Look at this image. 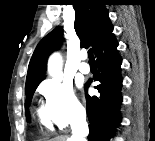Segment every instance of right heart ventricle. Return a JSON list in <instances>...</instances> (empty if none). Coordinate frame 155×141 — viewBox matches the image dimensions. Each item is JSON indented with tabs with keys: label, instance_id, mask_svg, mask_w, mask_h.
Here are the masks:
<instances>
[{
	"label": "right heart ventricle",
	"instance_id": "e07e8e85",
	"mask_svg": "<svg viewBox=\"0 0 155 141\" xmlns=\"http://www.w3.org/2000/svg\"><path fill=\"white\" fill-rule=\"evenodd\" d=\"M38 115H39V119H40L41 123H42L46 128L51 129V128H52L51 122H50V120L48 119L45 110H39V111H38Z\"/></svg>",
	"mask_w": 155,
	"mask_h": 141
}]
</instances>
